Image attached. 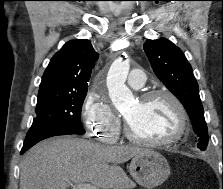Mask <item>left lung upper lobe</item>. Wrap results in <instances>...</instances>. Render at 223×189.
<instances>
[{
    "label": "left lung upper lobe",
    "mask_w": 223,
    "mask_h": 189,
    "mask_svg": "<svg viewBox=\"0 0 223 189\" xmlns=\"http://www.w3.org/2000/svg\"><path fill=\"white\" fill-rule=\"evenodd\" d=\"M143 49L156 76L180 100L188 112L195 133L199 137L197 146L205 150L208 144V128L198 84L185 55L180 48L164 38L148 39Z\"/></svg>",
    "instance_id": "1"
}]
</instances>
